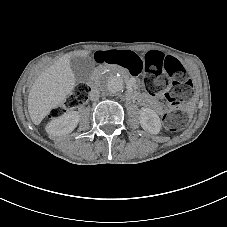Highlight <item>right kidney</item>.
Masks as SVG:
<instances>
[{
	"instance_id": "right-kidney-1",
	"label": "right kidney",
	"mask_w": 227,
	"mask_h": 227,
	"mask_svg": "<svg viewBox=\"0 0 227 227\" xmlns=\"http://www.w3.org/2000/svg\"><path fill=\"white\" fill-rule=\"evenodd\" d=\"M79 113H65L61 117L55 118L48 124L46 130L51 135H62L71 133L79 122Z\"/></svg>"
}]
</instances>
